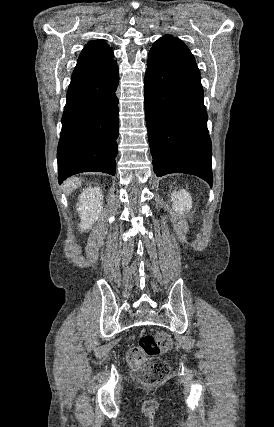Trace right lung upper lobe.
Segmentation results:
<instances>
[{"label": "right lung upper lobe", "instance_id": "1", "mask_svg": "<svg viewBox=\"0 0 274 427\" xmlns=\"http://www.w3.org/2000/svg\"><path fill=\"white\" fill-rule=\"evenodd\" d=\"M113 56V50L104 41H90L82 50L72 76L98 72L115 62Z\"/></svg>", "mask_w": 274, "mask_h": 427}]
</instances>
